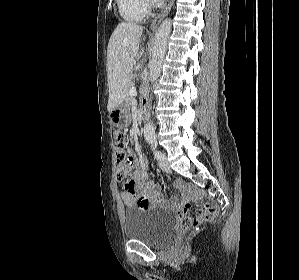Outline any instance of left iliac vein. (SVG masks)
<instances>
[{"label":"left iliac vein","instance_id":"4c4485c4","mask_svg":"<svg viewBox=\"0 0 299 280\" xmlns=\"http://www.w3.org/2000/svg\"><path fill=\"white\" fill-rule=\"evenodd\" d=\"M159 167L167 173L171 172V168L169 166V163L167 161V157L165 154H163V158L159 161Z\"/></svg>","mask_w":299,"mask_h":280}]
</instances>
